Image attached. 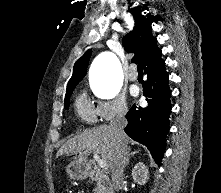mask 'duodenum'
<instances>
[{
  "label": "duodenum",
  "mask_w": 221,
  "mask_h": 193,
  "mask_svg": "<svg viewBox=\"0 0 221 193\" xmlns=\"http://www.w3.org/2000/svg\"><path fill=\"white\" fill-rule=\"evenodd\" d=\"M88 178L96 180L101 184L104 193H114L110 177L102 171L95 163L83 165Z\"/></svg>",
  "instance_id": "1"
}]
</instances>
